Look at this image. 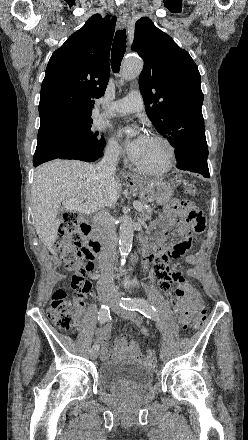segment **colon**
<instances>
[{
  "mask_svg": "<svg viewBox=\"0 0 248 440\" xmlns=\"http://www.w3.org/2000/svg\"><path fill=\"white\" fill-rule=\"evenodd\" d=\"M186 192L194 195L196 188L192 184L186 186ZM182 203V202H181ZM187 221L194 233H201L205 229V218L201 211L192 208L187 210ZM60 239L56 242L55 248L60 252L66 268L73 272L71 279V292L59 289L54 292L51 304L48 308V317L58 328L70 329L74 326L77 317V309L83 305V301L90 292L91 283L86 278L87 273L94 270L95 260L91 249L82 241V221L80 216L74 212H66L62 217L59 229ZM198 313L188 325L191 330L200 329L206 320L203 310V301L197 298ZM149 329L143 327L141 335L149 336ZM155 356L149 351L145 357L147 364H155Z\"/></svg>",
  "mask_w": 248,
  "mask_h": 440,
  "instance_id": "5ec220e1",
  "label": "colon"
}]
</instances>
